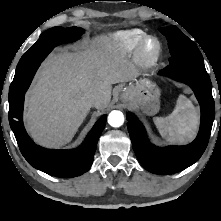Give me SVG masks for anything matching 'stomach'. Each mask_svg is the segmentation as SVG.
Wrapping results in <instances>:
<instances>
[{
    "label": "stomach",
    "instance_id": "obj_1",
    "mask_svg": "<svg viewBox=\"0 0 221 221\" xmlns=\"http://www.w3.org/2000/svg\"><path fill=\"white\" fill-rule=\"evenodd\" d=\"M125 100L142 109L145 114L154 115L160 108V90L148 79H140L124 91Z\"/></svg>",
    "mask_w": 221,
    "mask_h": 221
}]
</instances>
